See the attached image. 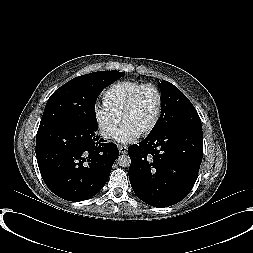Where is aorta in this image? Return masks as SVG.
I'll list each match as a JSON object with an SVG mask.
<instances>
[{"instance_id": "762f6f07", "label": "aorta", "mask_w": 253, "mask_h": 253, "mask_svg": "<svg viewBox=\"0 0 253 253\" xmlns=\"http://www.w3.org/2000/svg\"><path fill=\"white\" fill-rule=\"evenodd\" d=\"M117 162L121 167H129L131 164V158L129 155L123 154L117 158Z\"/></svg>"}]
</instances>
